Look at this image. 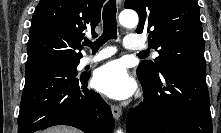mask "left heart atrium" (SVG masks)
Instances as JSON below:
<instances>
[{"mask_svg":"<svg viewBox=\"0 0 221 133\" xmlns=\"http://www.w3.org/2000/svg\"><path fill=\"white\" fill-rule=\"evenodd\" d=\"M92 82L97 91L113 99L127 98L135 90L125 65L119 60L110 61L99 67Z\"/></svg>","mask_w":221,"mask_h":133,"instance_id":"obj_1","label":"left heart atrium"}]
</instances>
